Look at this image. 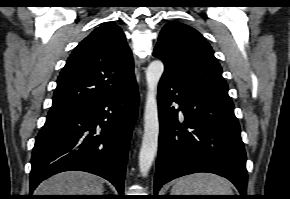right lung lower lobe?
Wrapping results in <instances>:
<instances>
[{
	"instance_id": "obj_1",
	"label": "right lung lower lobe",
	"mask_w": 290,
	"mask_h": 199,
	"mask_svg": "<svg viewBox=\"0 0 290 199\" xmlns=\"http://www.w3.org/2000/svg\"><path fill=\"white\" fill-rule=\"evenodd\" d=\"M138 102L134 81L120 93L49 113L33 148L30 193L56 173L80 170L107 179L122 196Z\"/></svg>"
}]
</instances>
